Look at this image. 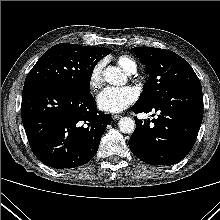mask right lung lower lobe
Instances as JSON below:
<instances>
[{"label":"right lung lower lobe","mask_w":220,"mask_h":220,"mask_svg":"<svg viewBox=\"0 0 220 220\" xmlns=\"http://www.w3.org/2000/svg\"><path fill=\"white\" fill-rule=\"evenodd\" d=\"M21 115L35 156L57 169L90 161L111 122L110 114L96 110L89 90L53 83L24 85Z\"/></svg>","instance_id":"right-lung-lower-lobe-1"}]
</instances>
